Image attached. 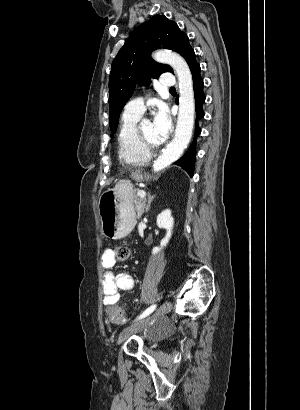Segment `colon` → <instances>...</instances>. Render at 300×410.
Wrapping results in <instances>:
<instances>
[{"mask_svg": "<svg viewBox=\"0 0 300 410\" xmlns=\"http://www.w3.org/2000/svg\"><path fill=\"white\" fill-rule=\"evenodd\" d=\"M129 248L124 245L116 246L113 249L114 257L118 261H125L129 257ZM108 317L113 323L121 324L125 322V314L124 311L119 307H113L108 310Z\"/></svg>", "mask_w": 300, "mask_h": 410, "instance_id": "1", "label": "colon"}]
</instances>
